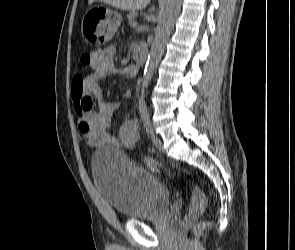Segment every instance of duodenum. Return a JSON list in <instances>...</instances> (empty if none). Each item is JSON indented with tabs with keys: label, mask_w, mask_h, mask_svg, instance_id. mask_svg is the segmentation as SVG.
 <instances>
[{
	"label": "duodenum",
	"mask_w": 295,
	"mask_h": 250,
	"mask_svg": "<svg viewBox=\"0 0 295 250\" xmlns=\"http://www.w3.org/2000/svg\"><path fill=\"white\" fill-rule=\"evenodd\" d=\"M133 52L137 65L142 66L147 56L146 48L137 46L134 48Z\"/></svg>",
	"instance_id": "obj_1"
}]
</instances>
